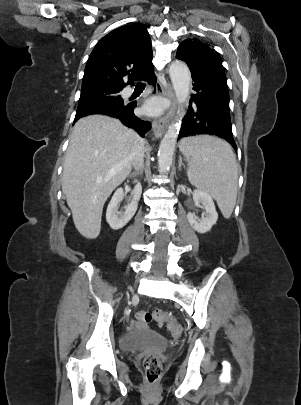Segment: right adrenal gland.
I'll return each mask as SVG.
<instances>
[{"label":"right adrenal gland","instance_id":"1","mask_svg":"<svg viewBox=\"0 0 301 405\" xmlns=\"http://www.w3.org/2000/svg\"><path fill=\"white\" fill-rule=\"evenodd\" d=\"M142 173H143V170L141 169L140 171L133 172L132 174L129 175V177L141 176Z\"/></svg>","mask_w":301,"mask_h":405}]
</instances>
